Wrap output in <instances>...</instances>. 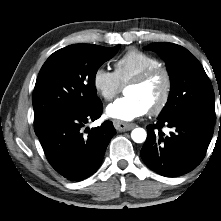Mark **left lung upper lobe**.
<instances>
[{
	"mask_svg": "<svg viewBox=\"0 0 221 221\" xmlns=\"http://www.w3.org/2000/svg\"><path fill=\"white\" fill-rule=\"evenodd\" d=\"M145 50L155 51L165 60L171 80L170 95L159 118L190 112L215 122L214 91L199 61L173 43H151Z\"/></svg>",
	"mask_w": 221,
	"mask_h": 221,
	"instance_id": "5c2ea615",
	"label": "left lung upper lobe"
}]
</instances>
